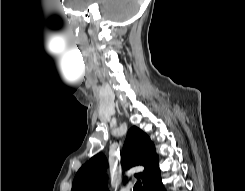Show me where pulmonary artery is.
Returning <instances> with one entry per match:
<instances>
[{"instance_id": "obj_1", "label": "pulmonary artery", "mask_w": 245, "mask_h": 191, "mask_svg": "<svg viewBox=\"0 0 245 191\" xmlns=\"http://www.w3.org/2000/svg\"><path fill=\"white\" fill-rule=\"evenodd\" d=\"M124 191H130V189H129V188H127V189H125Z\"/></svg>"}]
</instances>
